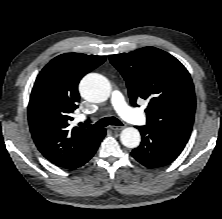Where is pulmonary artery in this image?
<instances>
[{"label":"pulmonary artery","instance_id":"1","mask_svg":"<svg viewBox=\"0 0 222 219\" xmlns=\"http://www.w3.org/2000/svg\"><path fill=\"white\" fill-rule=\"evenodd\" d=\"M112 103L117 113L126 121L135 125H144L146 117L143 113L130 108L119 91L112 94Z\"/></svg>","mask_w":222,"mask_h":219}]
</instances>
